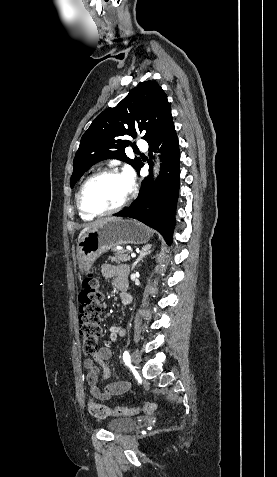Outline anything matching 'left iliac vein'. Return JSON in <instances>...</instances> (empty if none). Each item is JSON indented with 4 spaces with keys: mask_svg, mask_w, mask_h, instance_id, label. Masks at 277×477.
<instances>
[{
    "mask_svg": "<svg viewBox=\"0 0 277 477\" xmlns=\"http://www.w3.org/2000/svg\"><path fill=\"white\" fill-rule=\"evenodd\" d=\"M131 358H132V362H133L136 366H138V365L140 364V362H141V355H140V353H139L138 351H134V352L132 353Z\"/></svg>",
    "mask_w": 277,
    "mask_h": 477,
    "instance_id": "1",
    "label": "left iliac vein"
}]
</instances>
